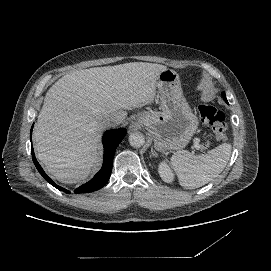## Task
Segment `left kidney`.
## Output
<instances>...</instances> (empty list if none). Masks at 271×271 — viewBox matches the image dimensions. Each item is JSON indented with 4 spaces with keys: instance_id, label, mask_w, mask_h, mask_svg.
I'll return each mask as SVG.
<instances>
[{
    "instance_id": "1",
    "label": "left kidney",
    "mask_w": 271,
    "mask_h": 271,
    "mask_svg": "<svg viewBox=\"0 0 271 271\" xmlns=\"http://www.w3.org/2000/svg\"><path fill=\"white\" fill-rule=\"evenodd\" d=\"M159 173H160L161 178L166 182H170V180L172 179V175H171L167 165H165V164L160 165Z\"/></svg>"
}]
</instances>
